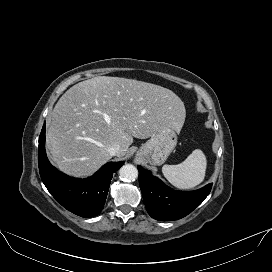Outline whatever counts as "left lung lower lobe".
Returning a JSON list of instances; mask_svg holds the SVG:
<instances>
[{"label":"left lung lower lobe","mask_w":272,"mask_h":272,"mask_svg":"<svg viewBox=\"0 0 272 272\" xmlns=\"http://www.w3.org/2000/svg\"><path fill=\"white\" fill-rule=\"evenodd\" d=\"M139 185L149 215L160 221H171L191 213L211 191L212 184L195 191H175L150 171L138 166Z\"/></svg>","instance_id":"obj_1"}]
</instances>
